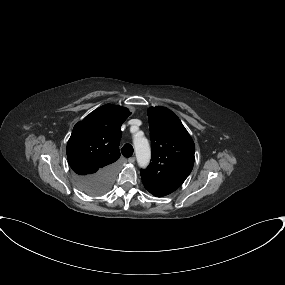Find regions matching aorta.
Here are the masks:
<instances>
[{
    "mask_svg": "<svg viewBox=\"0 0 285 285\" xmlns=\"http://www.w3.org/2000/svg\"><path fill=\"white\" fill-rule=\"evenodd\" d=\"M133 144L138 165L142 168L147 167L151 158V149L147 138L143 135H135Z\"/></svg>",
    "mask_w": 285,
    "mask_h": 285,
    "instance_id": "aorta-1",
    "label": "aorta"
}]
</instances>
